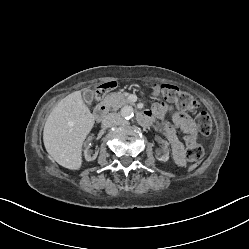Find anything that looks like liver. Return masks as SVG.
Listing matches in <instances>:
<instances>
[{"label": "liver", "mask_w": 249, "mask_h": 249, "mask_svg": "<svg viewBox=\"0 0 249 249\" xmlns=\"http://www.w3.org/2000/svg\"><path fill=\"white\" fill-rule=\"evenodd\" d=\"M95 118L82 99L81 91L66 96L50 113L43 141L48 154L61 166L77 170L82 165V145Z\"/></svg>", "instance_id": "obj_1"}]
</instances>
